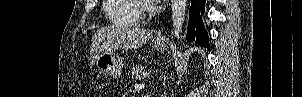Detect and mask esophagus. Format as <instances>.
Returning a JSON list of instances; mask_svg holds the SVG:
<instances>
[{"instance_id":"34e87169","label":"esophagus","mask_w":302,"mask_h":97,"mask_svg":"<svg viewBox=\"0 0 302 97\" xmlns=\"http://www.w3.org/2000/svg\"><path fill=\"white\" fill-rule=\"evenodd\" d=\"M163 38L161 36H158L157 37V40H162Z\"/></svg>"}]
</instances>
